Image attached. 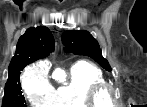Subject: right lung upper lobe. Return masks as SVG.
Returning <instances> with one entry per match:
<instances>
[{
	"mask_svg": "<svg viewBox=\"0 0 147 107\" xmlns=\"http://www.w3.org/2000/svg\"><path fill=\"white\" fill-rule=\"evenodd\" d=\"M54 49V39L45 26L31 27L19 38L16 55L9 65V76L16 74L20 67L45 58Z\"/></svg>",
	"mask_w": 147,
	"mask_h": 107,
	"instance_id": "obj_1",
	"label": "right lung upper lobe"
}]
</instances>
